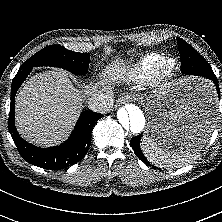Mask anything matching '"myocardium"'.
<instances>
[{"mask_svg":"<svg viewBox=\"0 0 222 222\" xmlns=\"http://www.w3.org/2000/svg\"><path fill=\"white\" fill-rule=\"evenodd\" d=\"M177 69V63L174 58L164 56L155 66L152 73V80L156 84H161L170 80Z\"/></svg>","mask_w":222,"mask_h":222,"instance_id":"myocardium-1","label":"myocardium"}]
</instances>
